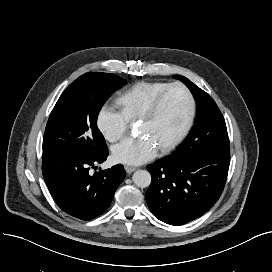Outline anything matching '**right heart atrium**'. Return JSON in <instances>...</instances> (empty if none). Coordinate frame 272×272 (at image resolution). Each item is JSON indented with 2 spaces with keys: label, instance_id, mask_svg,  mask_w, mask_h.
<instances>
[{
  "label": "right heart atrium",
  "instance_id": "1",
  "mask_svg": "<svg viewBox=\"0 0 272 272\" xmlns=\"http://www.w3.org/2000/svg\"><path fill=\"white\" fill-rule=\"evenodd\" d=\"M95 126L105 140L114 143L126 134L129 120L121 110L104 103L96 113Z\"/></svg>",
  "mask_w": 272,
  "mask_h": 272
}]
</instances>
